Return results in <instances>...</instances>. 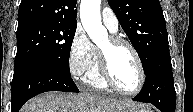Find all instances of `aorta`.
Masks as SVG:
<instances>
[{
    "instance_id": "aorta-1",
    "label": "aorta",
    "mask_w": 193,
    "mask_h": 112,
    "mask_svg": "<svg viewBox=\"0 0 193 112\" xmlns=\"http://www.w3.org/2000/svg\"><path fill=\"white\" fill-rule=\"evenodd\" d=\"M101 0H81L80 18L92 42L98 44L107 38V30L100 16Z\"/></svg>"
}]
</instances>
